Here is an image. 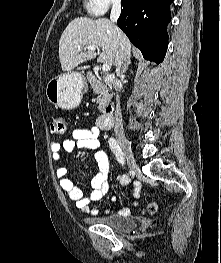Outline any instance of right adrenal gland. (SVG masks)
<instances>
[{"label":"right adrenal gland","mask_w":221,"mask_h":263,"mask_svg":"<svg viewBox=\"0 0 221 263\" xmlns=\"http://www.w3.org/2000/svg\"><path fill=\"white\" fill-rule=\"evenodd\" d=\"M131 64V60L128 59L122 63V73H125L128 70L129 65Z\"/></svg>","instance_id":"right-adrenal-gland-1"}]
</instances>
